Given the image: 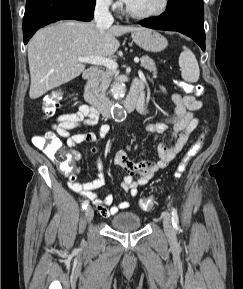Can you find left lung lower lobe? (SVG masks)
Instances as JSON below:
<instances>
[{
    "instance_id": "1",
    "label": "left lung lower lobe",
    "mask_w": 243,
    "mask_h": 289,
    "mask_svg": "<svg viewBox=\"0 0 243 289\" xmlns=\"http://www.w3.org/2000/svg\"><path fill=\"white\" fill-rule=\"evenodd\" d=\"M203 0H169L160 16L145 19L140 25L152 29L181 32L205 51Z\"/></svg>"
}]
</instances>
